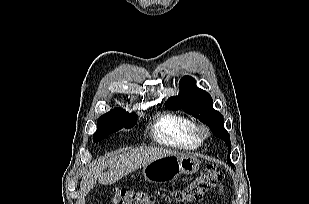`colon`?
<instances>
[{"instance_id": "obj_1", "label": "colon", "mask_w": 309, "mask_h": 204, "mask_svg": "<svg viewBox=\"0 0 309 204\" xmlns=\"http://www.w3.org/2000/svg\"><path fill=\"white\" fill-rule=\"evenodd\" d=\"M222 177L220 171L209 165L193 181L177 190L173 194V199L178 204L199 200L210 188L217 185ZM113 201L114 204H152L153 197L142 190L117 188L113 194Z\"/></svg>"}]
</instances>
